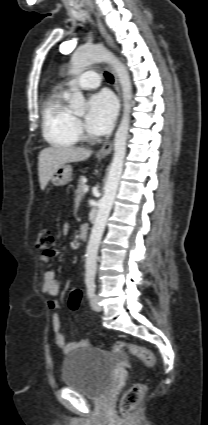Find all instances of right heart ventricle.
<instances>
[{"instance_id": "1", "label": "right heart ventricle", "mask_w": 208, "mask_h": 425, "mask_svg": "<svg viewBox=\"0 0 208 425\" xmlns=\"http://www.w3.org/2000/svg\"><path fill=\"white\" fill-rule=\"evenodd\" d=\"M42 132L45 140L55 147H73L78 142L75 119L65 104V93L50 92L42 104Z\"/></svg>"}]
</instances>
